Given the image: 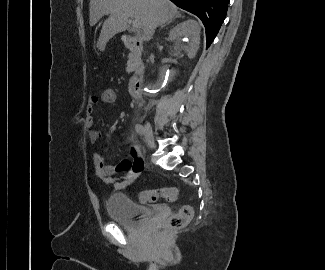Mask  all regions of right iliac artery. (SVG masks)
Wrapping results in <instances>:
<instances>
[{"label": "right iliac artery", "instance_id": "82829eb1", "mask_svg": "<svg viewBox=\"0 0 325 270\" xmlns=\"http://www.w3.org/2000/svg\"><path fill=\"white\" fill-rule=\"evenodd\" d=\"M135 130H136L137 133H139V134H143V132H144V127H143L142 125H140V124H137V125L135 126Z\"/></svg>", "mask_w": 325, "mask_h": 270}]
</instances>
